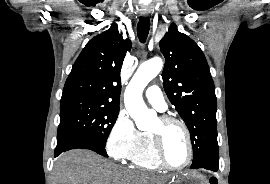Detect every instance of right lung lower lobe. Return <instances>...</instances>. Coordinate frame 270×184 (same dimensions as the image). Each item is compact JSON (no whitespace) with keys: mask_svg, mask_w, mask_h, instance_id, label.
<instances>
[{"mask_svg":"<svg viewBox=\"0 0 270 184\" xmlns=\"http://www.w3.org/2000/svg\"><path fill=\"white\" fill-rule=\"evenodd\" d=\"M89 149L92 150L104 157H108L105 148L97 144L96 142L85 139V138H66L60 141H57V146L55 149L54 156L57 157L62 152L71 150V149Z\"/></svg>","mask_w":270,"mask_h":184,"instance_id":"1","label":"right lung lower lobe"}]
</instances>
